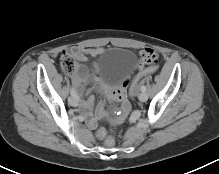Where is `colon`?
Returning a JSON list of instances; mask_svg holds the SVG:
<instances>
[{
  "label": "colon",
  "mask_w": 219,
  "mask_h": 174,
  "mask_svg": "<svg viewBox=\"0 0 219 174\" xmlns=\"http://www.w3.org/2000/svg\"><path fill=\"white\" fill-rule=\"evenodd\" d=\"M60 65H61V69L65 73L70 74V75H72L76 69L75 59L67 53H64L62 55ZM156 71H157V68L153 65H148L146 67L144 66L143 68H141L132 81V84L130 87L131 94L135 92L136 87L139 85V83L144 77L150 74H154ZM96 136L100 139H105V143L108 147H112L115 144L114 134L112 132H108L104 128H100L96 132Z\"/></svg>",
  "instance_id": "obj_1"
}]
</instances>
